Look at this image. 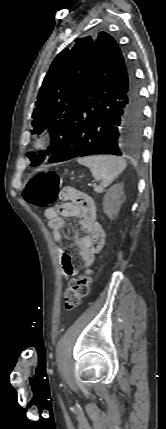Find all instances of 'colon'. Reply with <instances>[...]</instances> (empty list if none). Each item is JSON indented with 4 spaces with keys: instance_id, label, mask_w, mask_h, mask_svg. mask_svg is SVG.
Wrapping results in <instances>:
<instances>
[{
    "instance_id": "1",
    "label": "colon",
    "mask_w": 166,
    "mask_h": 429,
    "mask_svg": "<svg viewBox=\"0 0 166 429\" xmlns=\"http://www.w3.org/2000/svg\"><path fill=\"white\" fill-rule=\"evenodd\" d=\"M23 195L29 204L39 208L49 206L58 199L69 200L79 206H86L91 200L75 188L62 186L61 177L55 171H43L31 177ZM90 284V270L70 280L63 292L66 310H72L80 304L88 295Z\"/></svg>"
}]
</instances>
